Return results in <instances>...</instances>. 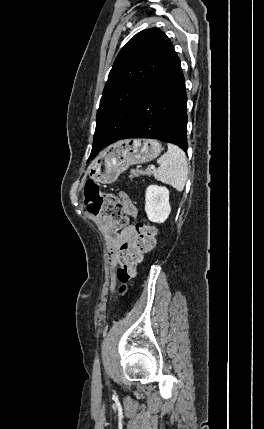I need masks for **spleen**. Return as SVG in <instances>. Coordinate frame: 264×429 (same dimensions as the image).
Instances as JSON below:
<instances>
[{
	"label": "spleen",
	"instance_id": "3e777b00",
	"mask_svg": "<svg viewBox=\"0 0 264 429\" xmlns=\"http://www.w3.org/2000/svg\"><path fill=\"white\" fill-rule=\"evenodd\" d=\"M167 146L168 150L158 159L160 166L153 174L157 180L182 191L188 176L187 158L178 146L171 143Z\"/></svg>",
	"mask_w": 264,
	"mask_h": 429
}]
</instances>
